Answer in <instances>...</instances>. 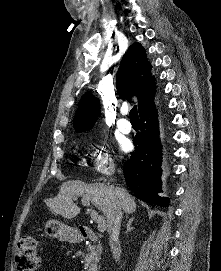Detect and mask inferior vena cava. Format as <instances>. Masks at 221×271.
<instances>
[{"label": "inferior vena cava", "mask_w": 221, "mask_h": 271, "mask_svg": "<svg viewBox=\"0 0 221 271\" xmlns=\"http://www.w3.org/2000/svg\"><path fill=\"white\" fill-rule=\"evenodd\" d=\"M124 211H122V207L120 203H118L115 213H114V219L112 221V225L109 229L110 235H109V245L110 249L113 253V257L115 261H118L120 263L121 261V245L119 241V235H120V229H121V221L123 217Z\"/></svg>", "instance_id": "obj_1"}]
</instances>
